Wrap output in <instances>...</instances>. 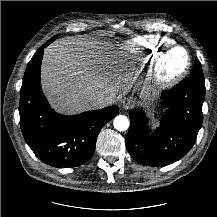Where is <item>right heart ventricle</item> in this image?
I'll list each match as a JSON object with an SVG mask.
<instances>
[{"instance_id": "e07e8e85", "label": "right heart ventricle", "mask_w": 217, "mask_h": 217, "mask_svg": "<svg viewBox=\"0 0 217 217\" xmlns=\"http://www.w3.org/2000/svg\"><path fill=\"white\" fill-rule=\"evenodd\" d=\"M172 41L164 36L148 35L126 42L123 49L135 59H143L148 56L153 61L165 48L171 46Z\"/></svg>"}]
</instances>
